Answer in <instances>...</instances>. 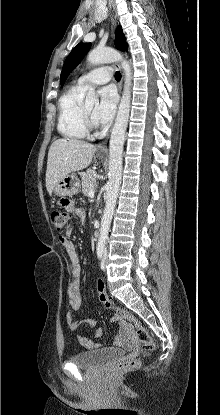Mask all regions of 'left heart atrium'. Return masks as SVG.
<instances>
[{
	"mask_svg": "<svg viewBox=\"0 0 220 415\" xmlns=\"http://www.w3.org/2000/svg\"><path fill=\"white\" fill-rule=\"evenodd\" d=\"M99 95L100 101L95 108L92 117L95 122L105 124L112 120L118 98L115 90L110 86L102 88Z\"/></svg>",
	"mask_w": 220,
	"mask_h": 415,
	"instance_id": "obj_1",
	"label": "left heart atrium"
}]
</instances>
